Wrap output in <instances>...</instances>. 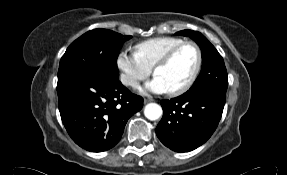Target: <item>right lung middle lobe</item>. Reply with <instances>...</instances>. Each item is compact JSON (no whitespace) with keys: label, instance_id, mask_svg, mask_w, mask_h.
Instances as JSON below:
<instances>
[{"label":"right lung middle lobe","instance_id":"obj_1","mask_svg":"<svg viewBox=\"0 0 287 175\" xmlns=\"http://www.w3.org/2000/svg\"><path fill=\"white\" fill-rule=\"evenodd\" d=\"M131 36L94 29L76 39L62 56L58 81L74 76L89 75L110 82L119 80L117 57L123 43Z\"/></svg>","mask_w":287,"mask_h":175}]
</instances>
